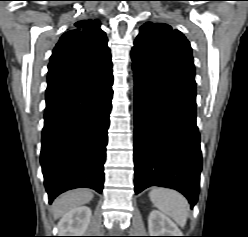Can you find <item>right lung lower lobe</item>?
Segmentation results:
<instances>
[{
    "instance_id": "1",
    "label": "right lung lower lobe",
    "mask_w": 248,
    "mask_h": 237,
    "mask_svg": "<svg viewBox=\"0 0 248 237\" xmlns=\"http://www.w3.org/2000/svg\"><path fill=\"white\" fill-rule=\"evenodd\" d=\"M112 84L110 68L86 80L47 88L40 161L50 203L74 188L102 192Z\"/></svg>"
}]
</instances>
